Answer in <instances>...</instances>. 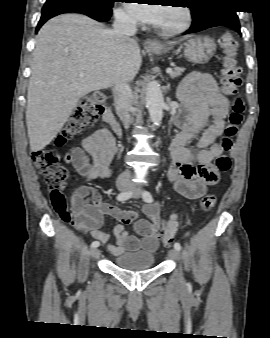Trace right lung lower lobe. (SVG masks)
<instances>
[{
  "mask_svg": "<svg viewBox=\"0 0 270 338\" xmlns=\"http://www.w3.org/2000/svg\"><path fill=\"white\" fill-rule=\"evenodd\" d=\"M69 12L85 14L98 21H107L112 14V9L86 4H45L42 9V16L37 25L36 32H38L40 27L48 19Z\"/></svg>",
  "mask_w": 270,
  "mask_h": 338,
  "instance_id": "1",
  "label": "right lung lower lobe"
}]
</instances>
